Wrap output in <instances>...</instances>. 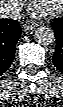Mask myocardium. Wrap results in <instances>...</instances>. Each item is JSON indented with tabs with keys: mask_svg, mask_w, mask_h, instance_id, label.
<instances>
[{
	"mask_svg": "<svg viewBox=\"0 0 63 107\" xmlns=\"http://www.w3.org/2000/svg\"><path fill=\"white\" fill-rule=\"evenodd\" d=\"M42 4H43V0L42 1H37V0H34L32 6L33 7H39L40 9L43 10V12H45L46 14L50 15V16H54L58 13L61 12L62 10V6H63V0H60L58 5L54 8H50V9H44L42 7Z\"/></svg>",
	"mask_w": 63,
	"mask_h": 107,
	"instance_id": "myocardium-1",
	"label": "myocardium"
}]
</instances>
